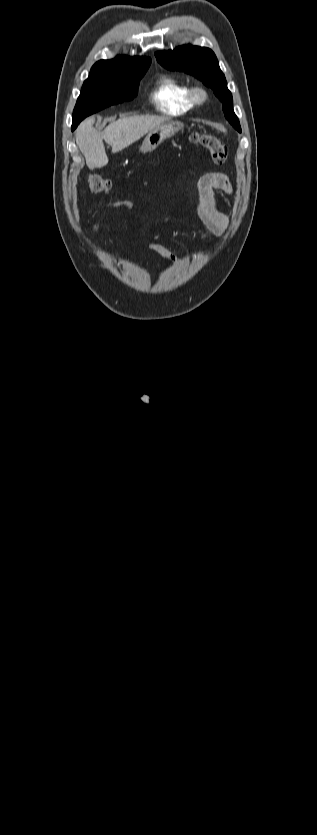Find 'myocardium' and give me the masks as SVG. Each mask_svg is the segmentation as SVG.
Instances as JSON below:
<instances>
[{
    "instance_id": "1",
    "label": "myocardium",
    "mask_w": 317,
    "mask_h": 835,
    "mask_svg": "<svg viewBox=\"0 0 317 835\" xmlns=\"http://www.w3.org/2000/svg\"><path fill=\"white\" fill-rule=\"evenodd\" d=\"M188 98L193 106H200L208 100V91L200 85L190 87Z\"/></svg>"
}]
</instances>
